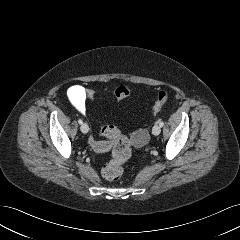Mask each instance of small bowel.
I'll list each match as a JSON object with an SVG mask.
<instances>
[{"label":"small bowel","instance_id":"obj_1","mask_svg":"<svg viewBox=\"0 0 240 240\" xmlns=\"http://www.w3.org/2000/svg\"><path fill=\"white\" fill-rule=\"evenodd\" d=\"M67 96L71 104L80 112L86 111V89L81 85H74L67 91ZM134 144L137 147L142 146L148 138V134L145 130H139L133 134ZM89 144L97 152L108 151L112 143L109 141H98L95 138H89Z\"/></svg>","mask_w":240,"mask_h":240}]
</instances>
